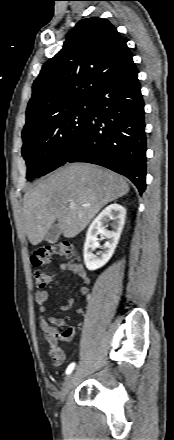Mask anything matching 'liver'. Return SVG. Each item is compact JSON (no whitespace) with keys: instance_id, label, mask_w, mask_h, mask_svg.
<instances>
[{"instance_id":"1","label":"liver","mask_w":174,"mask_h":440,"mask_svg":"<svg viewBox=\"0 0 174 440\" xmlns=\"http://www.w3.org/2000/svg\"><path fill=\"white\" fill-rule=\"evenodd\" d=\"M128 192V183L113 171L87 163L66 164L25 193L23 229L34 246L55 221L64 237L73 238L106 204Z\"/></svg>"}]
</instances>
